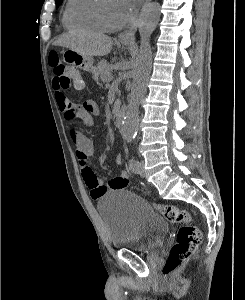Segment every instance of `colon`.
<instances>
[{"label":"colon","mask_w":245,"mask_h":300,"mask_svg":"<svg viewBox=\"0 0 245 300\" xmlns=\"http://www.w3.org/2000/svg\"><path fill=\"white\" fill-rule=\"evenodd\" d=\"M49 65L63 89H81L84 81L79 71L63 64L56 53L49 56ZM156 209L162 216L174 224H182L178 230L176 243L172 247L162 268L165 277L171 276L187 258L197 249L202 239V232L193 223L190 213L174 205L157 204Z\"/></svg>","instance_id":"obj_1"}]
</instances>
